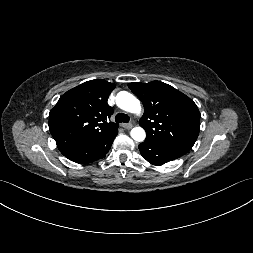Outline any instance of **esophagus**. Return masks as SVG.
I'll list each match as a JSON object with an SVG mask.
<instances>
[{"mask_svg": "<svg viewBox=\"0 0 253 253\" xmlns=\"http://www.w3.org/2000/svg\"><path fill=\"white\" fill-rule=\"evenodd\" d=\"M123 127L125 129H131L133 127V124L132 123H128V124H123Z\"/></svg>", "mask_w": 253, "mask_h": 253, "instance_id": "1", "label": "esophagus"}]
</instances>
